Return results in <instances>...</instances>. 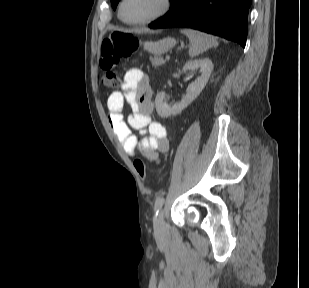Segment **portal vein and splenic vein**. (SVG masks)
<instances>
[{
	"label": "portal vein and splenic vein",
	"instance_id": "1",
	"mask_svg": "<svg viewBox=\"0 0 309 288\" xmlns=\"http://www.w3.org/2000/svg\"><path fill=\"white\" fill-rule=\"evenodd\" d=\"M165 59L169 60L170 59V55H166Z\"/></svg>",
	"mask_w": 309,
	"mask_h": 288
}]
</instances>
